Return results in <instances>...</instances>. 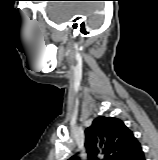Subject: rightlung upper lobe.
<instances>
[{"label": "right lung upper lobe", "mask_w": 158, "mask_h": 160, "mask_svg": "<svg viewBox=\"0 0 158 160\" xmlns=\"http://www.w3.org/2000/svg\"><path fill=\"white\" fill-rule=\"evenodd\" d=\"M85 147L90 160H127L140 143L121 120L98 117L85 130ZM69 160L79 158L73 156Z\"/></svg>", "instance_id": "obj_1"}]
</instances>
